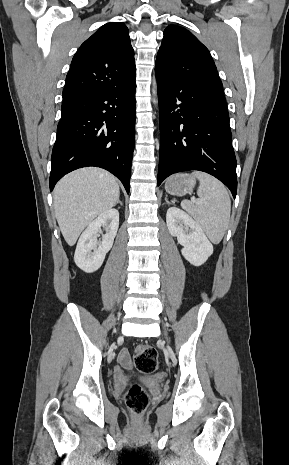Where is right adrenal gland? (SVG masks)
Returning <instances> with one entry per match:
<instances>
[{
	"instance_id": "obj_1",
	"label": "right adrenal gland",
	"mask_w": 289,
	"mask_h": 465,
	"mask_svg": "<svg viewBox=\"0 0 289 465\" xmlns=\"http://www.w3.org/2000/svg\"><path fill=\"white\" fill-rule=\"evenodd\" d=\"M116 204H120V206H122V205H123V203L120 201V199H119V198H118V200H117ZM116 204H115V205H116Z\"/></svg>"
}]
</instances>
